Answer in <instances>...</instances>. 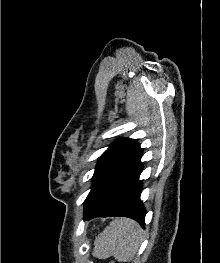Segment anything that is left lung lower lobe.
Returning <instances> with one entry per match:
<instances>
[{"mask_svg": "<svg viewBox=\"0 0 220 263\" xmlns=\"http://www.w3.org/2000/svg\"><path fill=\"white\" fill-rule=\"evenodd\" d=\"M143 163L140 160L99 201L84 211V220L95 217L124 216L136 220L144 227L145 208L140 201L139 175Z\"/></svg>", "mask_w": 220, "mask_h": 263, "instance_id": "left-lung-lower-lobe-1", "label": "left lung lower lobe"}]
</instances>
